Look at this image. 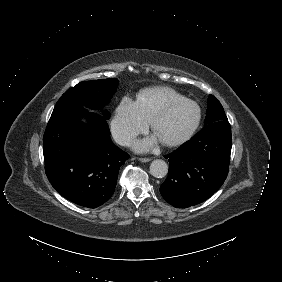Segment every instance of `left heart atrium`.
Wrapping results in <instances>:
<instances>
[{
	"label": "left heart atrium",
	"instance_id": "left-heart-atrium-1",
	"mask_svg": "<svg viewBox=\"0 0 282 282\" xmlns=\"http://www.w3.org/2000/svg\"><path fill=\"white\" fill-rule=\"evenodd\" d=\"M147 144L144 142V143H142V146H146Z\"/></svg>",
	"mask_w": 282,
	"mask_h": 282
}]
</instances>
